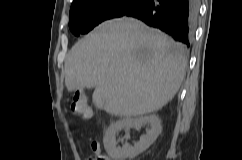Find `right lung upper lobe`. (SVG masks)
Returning <instances> with one entry per match:
<instances>
[{"label": "right lung upper lobe", "instance_id": "1", "mask_svg": "<svg viewBox=\"0 0 242 160\" xmlns=\"http://www.w3.org/2000/svg\"><path fill=\"white\" fill-rule=\"evenodd\" d=\"M80 1H82V0H74L73 3H72V5H75V4H77L78 2H80ZM72 5H71V6H72Z\"/></svg>", "mask_w": 242, "mask_h": 160}]
</instances>
